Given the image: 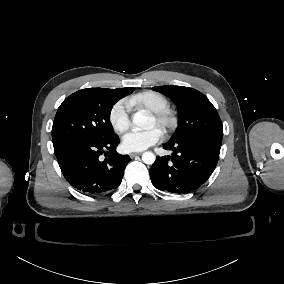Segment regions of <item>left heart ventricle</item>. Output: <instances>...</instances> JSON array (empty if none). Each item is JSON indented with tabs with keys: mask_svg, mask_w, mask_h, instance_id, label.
Listing matches in <instances>:
<instances>
[{
	"mask_svg": "<svg viewBox=\"0 0 284 284\" xmlns=\"http://www.w3.org/2000/svg\"><path fill=\"white\" fill-rule=\"evenodd\" d=\"M155 125V120H154V118H153V126Z\"/></svg>",
	"mask_w": 284,
	"mask_h": 284,
	"instance_id": "b2bd125f",
	"label": "left heart ventricle"
}]
</instances>
